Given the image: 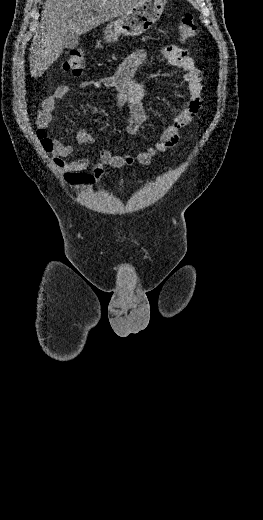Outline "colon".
Here are the masks:
<instances>
[{"instance_id":"1","label":"colon","mask_w":263,"mask_h":520,"mask_svg":"<svg viewBox=\"0 0 263 520\" xmlns=\"http://www.w3.org/2000/svg\"><path fill=\"white\" fill-rule=\"evenodd\" d=\"M178 31L180 38L183 41H186L195 36L197 32V24L192 14L186 13L182 17V19L179 22ZM63 69L67 72L72 73L75 76L81 75L85 69L84 52L81 49H75L71 51V53L63 63ZM37 135L41 140V143L45 150L50 151L52 148V142L45 130L41 128L38 129Z\"/></svg>"}]
</instances>
